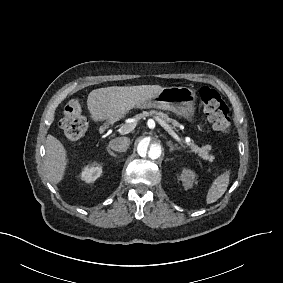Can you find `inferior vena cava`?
<instances>
[{
    "mask_svg": "<svg viewBox=\"0 0 283 283\" xmlns=\"http://www.w3.org/2000/svg\"><path fill=\"white\" fill-rule=\"evenodd\" d=\"M130 145V139L126 137L116 138L110 142V148L116 152H126Z\"/></svg>",
    "mask_w": 283,
    "mask_h": 283,
    "instance_id": "602c4592",
    "label": "inferior vena cava"
}]
</instances>
